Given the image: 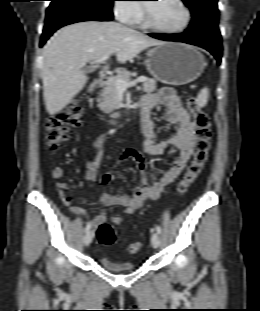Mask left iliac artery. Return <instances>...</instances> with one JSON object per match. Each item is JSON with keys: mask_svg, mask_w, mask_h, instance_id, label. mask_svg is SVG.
<instances>
[{"mask_svg": "<svg viewBox=\"0 0 260 311\" xmlns=\"http://www.w3.org/2000/svg\"><path fill=\"white\" fill-rule=\"evenodd\" d=\"M156 231H157L158 234H160L161 233V227L160 226H156Z\"/></svg>", "mask_w": 260, "mask_h": 311, "instance_id": "left-iliac-artery-1", "label": "left iliac artery"}]
</instances>
